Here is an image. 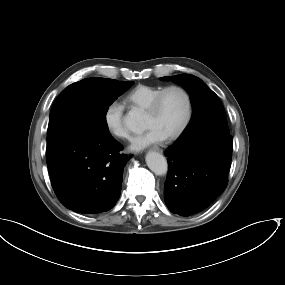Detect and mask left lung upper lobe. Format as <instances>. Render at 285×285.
<instances>
[{
	"mask_svg": "<svg viewBox=\"0 0 285 285\" xmlns=\"http://www.w3.org/2000/svg\"><path fill=\"white\" fill-rule=\"evenodd\" d=\"M161 79L181 84L189 93L193 105L190 123L175 143L205 133L230 134L222 102L201 79L189 74Z\"/></svg>",
	"mask_w": 285,
	"mask_h": 285,
	"instance_id": "5c2ea615",
	"label": "left lung upper lobe"
}]
</instances>
